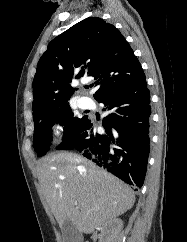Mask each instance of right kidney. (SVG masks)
<instances>
[{"label":"right kidney","mask_w":187,"mask_h":242,"mask_svg":"<svg viewBox=\"0 0 187 242\" xmlns=\"http://www.w3.org/2000/svg\"><path fill=\"white\" fill-rule=\"evenodd\" d=\"M123 228L121 219H112L103 225V232L107 235V242H113L114 237Z\"/></svg>","instance_id":"1"}]
</instances>
